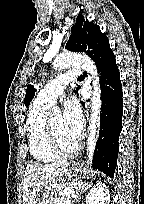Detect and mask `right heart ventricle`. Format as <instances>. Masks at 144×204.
I'll list each match as a JSON object with an SVG mask.
<instances>
[{"label": "right heart ventricle", "mask_w": 144, "mask_h": 204, "mask_svg": "<svg viewBox=\"0 0 144 204\" xmlns=\"http://www.w3.org/2000/svg\"><path fill=\"white\" fill-rule=\"evenodd\" d=\"M48 106L34 101L28 113V146L32 158L40 163L56 161L59 156L52 150L46 132Z\"/></svg>", "instance_id": "right-heart-ventricle-1"}]
</instances>
